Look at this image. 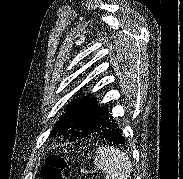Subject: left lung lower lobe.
Returning <instances> with one entry per match:
<instances>
[{
	"instance_id": "left-lung-lower-lobe-1",
	"label": "left lung lower lobe",
	"mask_w": 183,
	"mask_h": 179,
	"mask_svg": "<svg viewBox=\"0 0 183 179\" xmlns=\"http://www.w3.org/2000/svg\"><path fill=\"white\" fill-rule=\"evenodd\" d=\"M90 137L104 139L110 142H114L115 144H125V139L122 135V131L115 120H107L102 127L85 138Z\"/></svg>"
}]
</instances>
